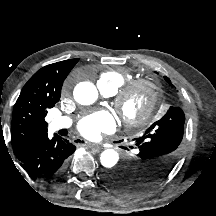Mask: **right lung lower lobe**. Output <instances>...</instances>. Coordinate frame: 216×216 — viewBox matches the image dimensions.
<instances>
[{"mask_svg": "<svg viewBox=\"0 0 216 216\" xmlns=\"http://www.w3.org/2000/svg\"><path fill=\"white\" fill-rule=\"evenodd\" d=\"M76 147L68 140L57 135L49 139L48 135L37 139L17 158L22 167L31 175L48 179L63 169L66 159L74 153Z\"/></svg>", "mask_w": 216, "mask_h": 216, "instance_id": "1", "label": "right lung lower lobe"}]
</instances>
